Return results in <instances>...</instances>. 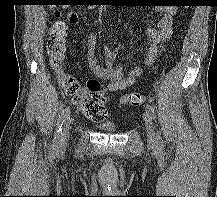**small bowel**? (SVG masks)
Segmentation results:
<instances>
[{"label": "small bowel", "mask_w": 217, "mask_h": 197, "mask_svg": "<svg viewBox=\"0 0 217 197\" xmlns=\"http://www.w3.org/2000/svg\"><path fill=\"white\" fill-rule=\"evenodd\" d=\"M156 10L162 12L163 15L156 28L147 30L149 49L146 58L147 67L154 65L161 56V44L171 35L176 14V8L173 5L159 6L156 7ZM66 19L69 23L74 24L78 22L79 16L74 11H68ZM97 41V34L90 32L87 37V61L91 71L99 78L109 80L108 90L111 92L125 90L132 86L142 74L143 69L133 68L127 77L123 76L124 67L117 63L118 51L123 47L121 42H119L117 50L104 49V66H101L95 54Z\"/></svg>", "instance_id": "obj_1"}]
</instances>
